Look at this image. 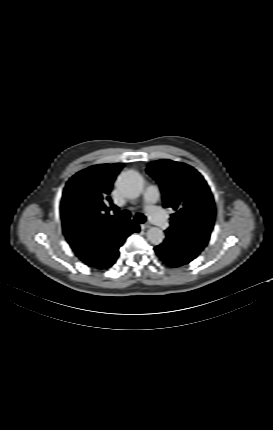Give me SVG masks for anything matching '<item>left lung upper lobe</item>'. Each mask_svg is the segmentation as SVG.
Here are the masks:
<instances>
[{"label": "left lung upper lobe", "instance_id": "obj_1", "mask_svg": "<svg viewBox=\"0 0 273 430\" xmlns=\"http://www.w3.org/2000/svg\"><path fill=\"white\" fill-rule=\"evenodd\" d=\"M147 173L160 186L163 206L175 210L165 232L182 254L197 257L215 222V203L206 181L193 167L167 159L149 163Z\"/></svg>", "mask_w": 273, "mask_h": 430}]
</instances>
